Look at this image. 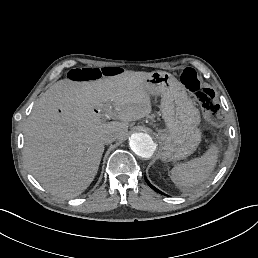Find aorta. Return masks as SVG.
I'll return each mask as SVG.
<instances>
[{"label": "aorta", "mask_w": 258, "mask_h": 258, "mask_svg": "<svg viewBox=\"0 0 258 258\" xmlns=\"http://www.w3.org/2000/svg\"><path fill=\"white\" fill-rule=\"evenodd\" d=\"M132 151L139 157L150 158L156 150V143L147 133H135L129 142Z\"/></svg>", "instance_id": "aorta-1"}]
</instances>
